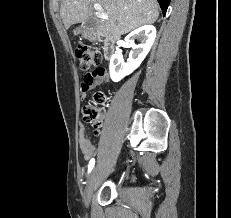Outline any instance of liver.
<instances>
[{"label":"liver","mask_w":231,"mask_h":218,"mask_svg":"<svg viewBox=\"0 0 231 218\" xmlns=\"http://www.w3.org/2000/svg\"><path fill=\"white\" fill-rule=\"evenodd\" d=\"M95 3L102 6L108 17L103 19L99 16L97 31L113 39L142 25L152 24L159 17L156 0H62L60 15L65 28L85 22L92 14Z\"/></svg>","instance_id":"1"}]
</instances>
